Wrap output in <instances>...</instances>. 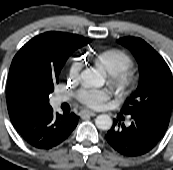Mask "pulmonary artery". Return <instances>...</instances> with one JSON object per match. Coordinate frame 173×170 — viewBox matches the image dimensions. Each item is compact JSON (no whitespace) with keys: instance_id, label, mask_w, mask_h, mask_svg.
Instances as JSON below:
<instances>
[{"instance_id":"1","label":"pulmonary artery","mask_w":173,"mask_h":170,"mask_svg":"<svg viewBox=\"0 0 173 170\" xmlns=\"http://www.w3.org/2000/svg\"><path fill=\"white\" fill-rule=\"evenodd\" d=\"M67 97H61V101H66Z\"/></svg>"}]
</instances>
